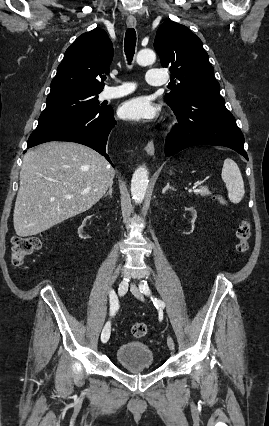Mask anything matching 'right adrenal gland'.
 <instances>
[{
	"mask_svg": "<svg viewBox=\"0 0 269 426\" xmlns=\"http://www.w3.org/2000/svg\"><path fill=\"white\" fill-rule=\"evenodd\" d=\"M107 196H110V198H112V184L110 185L108 192L104 195V198Z\"/></svg>",
	"mask_w": 269,
	"mask_h": 426,
	"instance_id": "obj_1",
	"label": "right adrenal gland"
}]
</instances>
